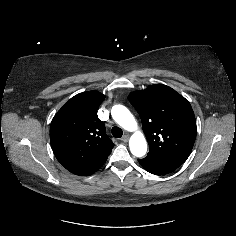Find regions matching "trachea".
<instances>
[{"mask_svg":"<svg viewBox=\"0 0 236 236\" xmlns=\"http://www.w3.org/2000/svg\"><path fill=\"white\" fill-rule=\"evenodd\" d=\"M112 132V135L115 137V138H120L122 137L123 135V131L121 128L117 127V126H114L111 130Z\"/></svg>","mask_w":236,"mask_h":236,"instance_id":"3493384b","label":"trachea"}]
</instances>
